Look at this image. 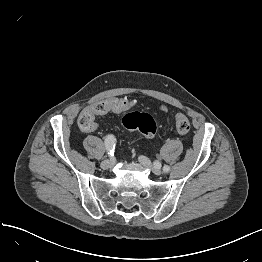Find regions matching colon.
Here are the masks:
<instances>
[{"mask_svg":"<svg viewBox=\"0 0 262 262\" xmlns=\"http://www.w3.org/2000/svg\"><path fill=\"white\" fill-rule=\"evenodd\" d=\"M134 105L126 99L105 100L94 104L90 109L84 110L79 117V126L84 131H90L96 127L95 115L107 110L114 113H125ZM122 125L128 130L141 132L147 139L155 136L157 128L151 115L147 113L130 112L122 118ZM176 129L179 134L185 135L190 130V123L186 115H176Z\"/></svg>","mask_w":262,"mask_h":262,"instance_id":"1","label":"colon"}]
</instances>
